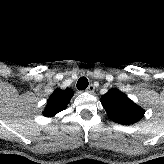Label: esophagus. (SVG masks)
I'll return each instance as SVG.
<instances>
[{
  "label": "esophagus",
  "instance_id": "34e87169",
  "mask_svg": "<svg viewBox=\"0 0 164 164\" xmlns=\"http://www.w3.org/2000/svg\"><path fill=\"white\" fill-rule=\"evenodd\" d=\"M94 90H95V87H94L93 84H90V85L87 87V89H86V91L89 92V93H93Z\"/></svg>",
  "mask_w": 164,
  "mask_h": 164
}]
</instances>
